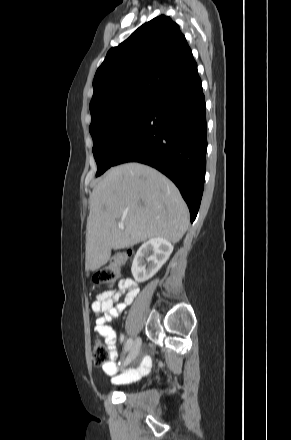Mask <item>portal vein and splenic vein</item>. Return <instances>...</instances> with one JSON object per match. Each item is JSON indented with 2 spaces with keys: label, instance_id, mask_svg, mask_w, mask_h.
<instances>
[{
  "label": "portal vein and splenic vein",
  "instance_id": "1",
  "mask_svg": "<svg viewBox=\"0 0 291 440\" xmlns=\"http://www.w3.org/2000/svg\"><path fill=\"white\" fill-rule=\"evenodd\" d=\"M118 227H119L120 229H124V227H125L124 222H118Z\"/></svg>",
  "mask_w": 291,
  "mask_h": 440
}]
</instances>
